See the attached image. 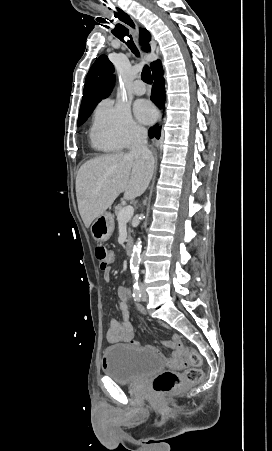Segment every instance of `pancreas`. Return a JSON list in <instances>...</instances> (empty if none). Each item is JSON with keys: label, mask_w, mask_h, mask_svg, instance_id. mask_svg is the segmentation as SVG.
I'll use <instances>...</instances> for the list:
<instances>
[{"label": "pancreas", "mask_w": 272, "mask_h": 451, "mask_svg": "<svg viewBox=\"0 0 272 451\" xmlns=\"http://www.w3.org/2000/svg\"><path fill=\"white\" fill-rule=\"evenodd\" d=\"M123 208H125V206H122V204H118V206H116V208H115L116 216H118L120 210H123ZM129 231H131V229H129ZM128 241H132L131 235H128Z\"/></svg>", "instance_id": "1"}]
</instances>
